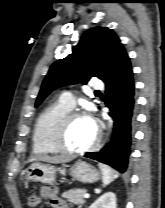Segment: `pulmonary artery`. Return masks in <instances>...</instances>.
<instances>
[{
    "instance_id": "e3ab8cb5",
    "label": "pulmonary artery",
    "mask_w": 165,
    "mask_h": 208,
    "mask_svg": "<svg viewBox=\"0 0 165 208\" xmlns=\"http://www.w3.org/2000/svg\"><path fill=\"white\" fill-rule=\"evenodd\" d=\"M104 88L103 83L100 80L93 81L92 89L100 91ZM61 102L69 108H73L76 104L75 97L70 92H66L61 97Z\"/></svg>"
}]
</instances>
